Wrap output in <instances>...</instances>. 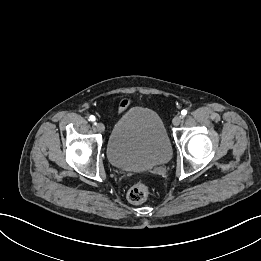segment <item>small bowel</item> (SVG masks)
Masks as SVG:
<instances>
[{"label": "small bowel", "mask_w": 261, "mask_h": 261, "mask_svg": "<svg viewBox=\"0 0 261 261\" xmlns=\"http://www.w3.org/2000/svg\"><path fill=\"white\" fill-rule=\"evenodd\" d=\"M130 104H131V100L130 99H123L120 102L118 111L120 113H122L123 111H125L129 107Z\"/></svg>", "instance_id": "obj_1"}]
</instances>
